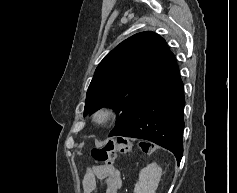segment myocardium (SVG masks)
Listing matches in <instances>:
<instances>
[{"instance_id": "1", "label": "myocardium", "mask_w": 237, "mask_h": 193, "mask_svg": "<svg viewBox=\"0 0 237 193\" xmlns=\"http://www.w3.org/2000/svg\"><path fill=\"white\" fill-rule=\"evenodd\" d=\"M115 113L111 108L102 107L97 109L92 115V121L99 127L109 125L114 119Z\"/></svg>"}]
</instances>
